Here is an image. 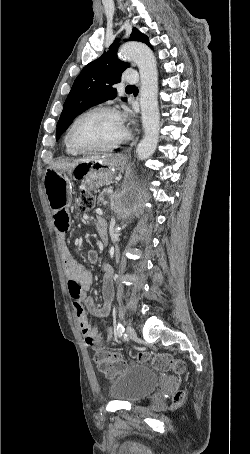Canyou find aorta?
Here are the masks:
<instances>
[{
  "mask_svg": "<svg viewBox=\"0 0 250 454\" xmlns=\"http://www.w3.org/2000/svg\"><path fill=\"white\" fill-rule=\"evenodd\" d=\"M122 57L132 60L140 73V107L144 137L136 148L140 160L148 159L155 151L160 130L158 106V72L151 49L139 42H128L119 50Z\"/></svg>",
  "mask_w": 250,
  "mask_h": 454,
  "instance_id": "762f6f07",
  "label": "aorta"
}]
</instances>
